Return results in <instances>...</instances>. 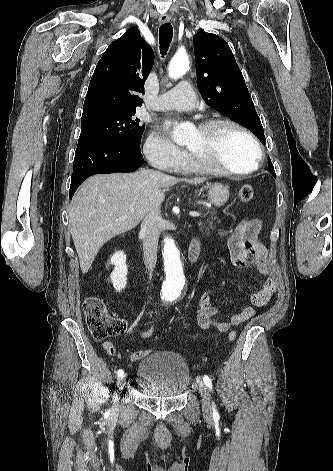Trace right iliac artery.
I'll list each match as a JSON object with an SVG mask.
<instances>
[{"mask_svg": "<svg viewBox=\"0 0 333 471\" xmlns=\"http://www.w3.org/2000/svg\"><path fill=\"white\" fill-rule=\"evenodd\" d=\"M123 374H124V371L122 369H119L118 372H117V376L121 377V376H123Z\"/></svg>", "mask_w": 333, "mask_h": 471, "instance_id": "obj_1", "label": "right iliac artery"}]
</instances>
